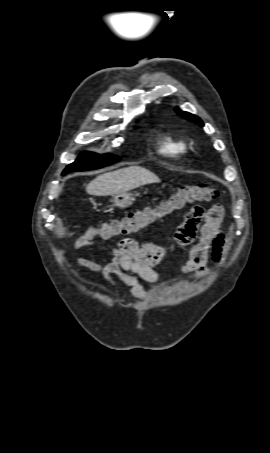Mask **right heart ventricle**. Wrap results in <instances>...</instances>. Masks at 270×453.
Wrapping results in <instances>:
<instances>
[{"instance_id":"right-heart-ventricle-1","label":"right heart ventricle","mask_w":270,"mask_h":453,"mask_svg":"<svg viewBox=\"0 0 270 453\" xmlns=\"http://www.w3.org/2000/svg\"><path fill=\"white\" fill-rule=\"evenodd\" d=\"M159 150L166 155H180L187 152L188 145L184 140L166 134L159 142Z\"/></svg>"}]
</instances>
